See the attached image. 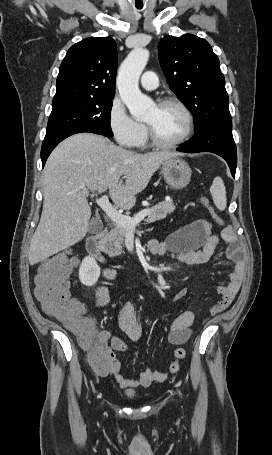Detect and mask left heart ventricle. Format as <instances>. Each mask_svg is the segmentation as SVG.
Listing matches in <instances>:
<instances>
[{"instance_id":"obj_1","label":"left heart ventricle","mask_w":272,"mask_h":455,"mask_svg":"<svg viewBox=\"0 0 272 455\" xmlns=\"http://www.w3.org/2000/svg\"><path fill=\"white\" fill-rule=\"evenodd\" d=\"M159 140L169 143L181 138L186 130V118L176 106H153L145 117Z\"/></svg>"}]
</instances>
